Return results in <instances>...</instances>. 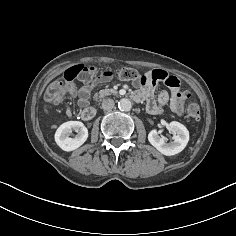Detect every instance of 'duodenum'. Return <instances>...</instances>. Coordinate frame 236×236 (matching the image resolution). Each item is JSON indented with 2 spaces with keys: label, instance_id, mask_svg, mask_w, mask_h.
Masks as SVG:
<instances>
[{
  "label": "duodenum",
  "instance_id": "1",
  "mask_svg": "<svg viewBox=\"0 0 236 236\" xmlns=\"http://www.w3.org/2000/svg\"><path fill=\"white\" fill-rule=\"evenodd\" d=\"M96 114V110L94 107L88 106L82 109L80 115L84 120L92 119Z\"/></svg>",
  "mask_w": 236,
  "mask_h": 236
}]
</instances>
